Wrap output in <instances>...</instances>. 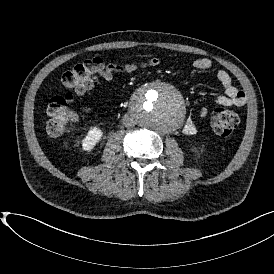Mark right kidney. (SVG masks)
<instances>
[{
  "label": "right kidney",
  "instance_id": "ca27d5eb",
  "mask_svg": "<svg viewBox=\"0 0 274 274\" xmlns=\"http://www.w3.org/2000/svg\"><path fill=\"white\" fill-rule=\"evenodd\" d=\"M104 137V130L100 126H92L81 140V149L85 152L92 151Z\"/></svg>",
  "mask_w": 274,
  "mask_h": 274
}]
</instances>
